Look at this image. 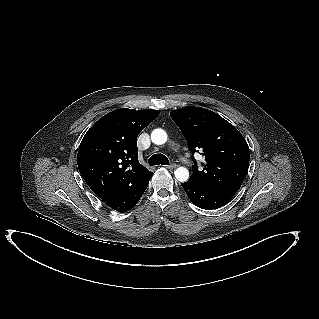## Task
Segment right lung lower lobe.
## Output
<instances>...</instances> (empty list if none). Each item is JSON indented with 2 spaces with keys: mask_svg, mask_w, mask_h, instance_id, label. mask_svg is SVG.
I'll list each match as a JSON object with an SVG mask.
<instances>
[{
  "mask_svg": "<svg viewBox=\"0 0 319 319\" xmlns=\"http://www.w3.org/2000/svg\"><path fill=\"white\" fill-rule=\"evenodd\" d=\"M152 175L153 173L149 172L143 181L132 186L129 190L120 194L115 199L107 202V205L119 212H126L132 209L137 204L142 194L148 187V182L151 179Z\"/></svg>",
  "mask_w": 319,
  "mask_h": 319,
  "instance_id": "right-lung-lower-lobe-1",
  "label": "right lung lower lobe"
}]
</instances>
